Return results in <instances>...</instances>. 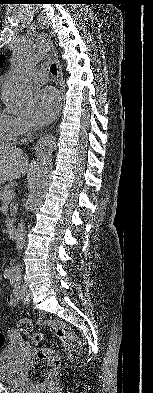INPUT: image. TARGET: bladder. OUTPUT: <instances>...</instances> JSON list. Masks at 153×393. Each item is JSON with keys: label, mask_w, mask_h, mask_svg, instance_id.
I'll list each match as a JSON object with an SVG mask.
<instances>
[{"label": "bladder", "mask_w": 153, "mask_h": 393, "mask_svg": "<svg viewBox=\"0 0 153 393\" xmlns=\"http://www.w3.org/2000/svg\"><path fill=\"white\" fill-rule=\"evenodd\" d=\"M22 366L16 360V351L13 347L0 350V381L17 384L20 382Z\"/></svg>", "instance_id": "obj_1"}]
</instances>
